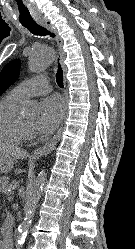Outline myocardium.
I'll list each match as a JSON object with an SVG mask.
<instances>
[{
    "label": "myocardium",
    "instance_id": "f54148a6",
    "mask_svg": "<svg viewBox=\"0 0 135 249\" xmlns=\"http://www.w3.org/2000/svg\"><path fill=\"white\" fill-rule=\"evenodd\" d=\"M18 127H19L21 133L24 135L25 139H29V138H32V137H33V135H34V130H33V128H30V127L25 126V125L21 122L20 118H18Z\"/></svg>",
    "mask_w": 135,
    "mask_h": 249
}]
</instances>
